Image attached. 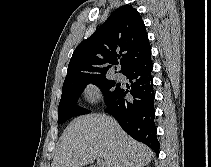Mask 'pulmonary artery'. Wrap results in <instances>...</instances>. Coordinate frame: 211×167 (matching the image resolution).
<instances>
[{
  "label": "pulmonary artery",
  "mask_w": 211,
  "mask_h": 167,
  "mask_svg": "<svg viewBox=\"0 0 211 167\" xmlns=\"http://www.w3.org/2000/svg\"><path fill=\"white\" fill-rule=\"evenodd\" d=\"M116 78L118 79V80H123V75L121 74V73H119V72H117L116 73Z\"/></svg>",
  "instance_id": "obj_1"
}]
</instances>
